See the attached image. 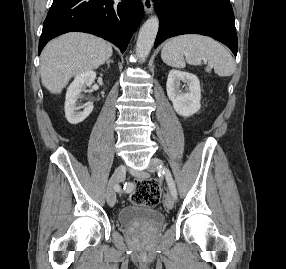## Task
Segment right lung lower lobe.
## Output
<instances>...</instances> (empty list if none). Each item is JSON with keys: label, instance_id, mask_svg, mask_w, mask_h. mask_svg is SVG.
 Returning <instances> with one entry per match:
<instances>
[{"label": "right lung lower lobe", "instance_id": "obj_1", "mask_svg": "<svg viewBox=\"0 0 286 269\" xmlns=\"http://www.w3.org/2000/svg\"><path fill=\"white\" fill-rule=\"evenodd\" d=\"M142 15L139 0H54L43 24L38 53L49 40L67 32L97 35L123 53Z\"/></svg>", "mask_w": 286, "mask_h": 269}]
</instances>
